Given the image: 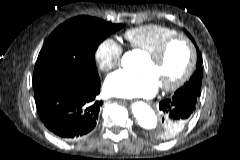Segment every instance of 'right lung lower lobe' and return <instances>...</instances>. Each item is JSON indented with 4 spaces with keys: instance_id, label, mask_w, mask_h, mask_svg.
Returning <instances> with one entry per match:
<instances>
[{
    "instance_id": "obj_1",
    "label": "right lung lower lobe",
    "mask_w": 240,
    "mask_h": 160,
    "mask_svg": "<svg viewBox=\"0 0 240 160\" xmlns=\"http://www.w3.org/2000/svg\"><path fill=\"white\" fill-rule=\"evenodd\" d=\"M100 78L76 81L52 74L34 83L37 111L44 125L64 139H78L96 126L102 101Z\"/></svg>"
}]
</instances>
